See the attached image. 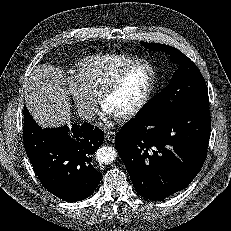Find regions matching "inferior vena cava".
Instances as JSON below:
<instances>
[{
  "mask_svg": "<svg viewBox=\"0 0 231 231\" xmlns=\"http://www.w3.org/2000/svg\"><path fill=\"white\" fill-rule=\"evenodd\" d=\"M79 116L82 120L93 122L95 120V113L91 107H84L79 110Z\"/></svg>",
  "mask_w": 231,
  "mask_h": 231,
  "instance_id": "inferior-vena-cava-1",
  "label": "inferior vena cava"
}]
</instances>
